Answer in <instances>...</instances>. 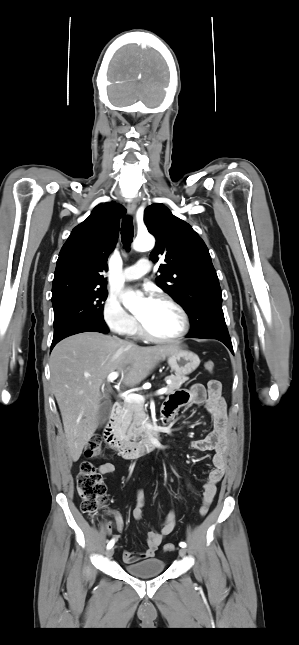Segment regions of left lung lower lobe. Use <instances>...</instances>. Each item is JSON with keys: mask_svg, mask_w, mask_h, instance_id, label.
<instances>
[{"mask_svg": "<svg viewBox=\"0 0 299 645\" xmlns=\"http://www.w3.org/2000/svg\"><path fill=\"white\" fill-rule=\"evenodd\" d=\"M187 337L189 338H211V339H217L221 342H223L229 350L233 353V347L231 343V339L226 327L225 319L223 314H219L215 319L214 323L202 334L199 335H192L188 334Z\"/></svg>", "mask_w": 299, "mask_h": 645, "instance_id": "1", "label": "left lung lower lobe"}]
</instances>
